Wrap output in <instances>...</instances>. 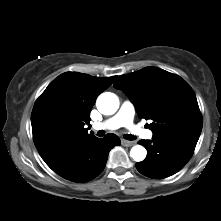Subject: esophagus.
Segmentation results:
<instances>
[{"instance_id": "34e87169", "label": "esophagus", "mask_w": 221, "mask_h": 221, "mask_svg": "<svg viewBox=\"0 0 221 221\" xmlns=\"http://www.w3.org/2000/svg\"><path fill=\"white\" fill-rule=\"evenodd\" d=\"M121 143L123 146H126V147H130V146L134 145L133 141H128V140H124V139L121 141Z\"/></svg>"}]
</instances>
